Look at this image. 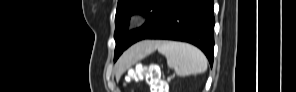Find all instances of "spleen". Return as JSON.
<instances>
[{"mask_svg": "<svg viewBox=\"0 0 296 92\" xmlns=\"http://www.w3.org/2000/svg\"><path fill=\"white\" fill-rule=\"evenodd\" d=\"M157 49L159 53L166 57L168 67L175 69L179 76L204 73L207 69L205 55L190 44L161 41L158 42Z\"/></svg>", "mask_w": 296, "mask_h": 92, "instance_id": "obj_1", "label": "spleen"}]
</instances>
